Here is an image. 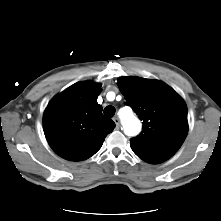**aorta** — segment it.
Instances as JSON below:
<instances>
[{"instance_id": "aorta-1", "label": "aorta", "mask_w": 221, "mask_h": 221, "mask_svg": "<svg viewBox=\"0 0 221 221\" xmlns=\"http://www.w3.org/2000/svg\"><path fill=\"white\" fill-rule=\"evenodd\" d=\"M122 124L127 135L134 136L139 133L141 129L140 121L129 111L122 117Z\"/></svg>"}]
</instances>
